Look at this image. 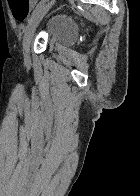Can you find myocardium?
<instances>
[{
  "label": "myocardium",
  "mask_w": 140,
  "mask_h": 196,
  "mask_svg": "<svg viewBox=\"0 0 140 196\" xmlns=\"http://www.w3.org/2000/svg\"><path fill=\"white\" fill-rule=\"evenodd\" d=\"M4 192H9V191H4ZM40 192H66V191H40Z\"/></svg>",
  "instance_id": "1"
}]
</instances>
